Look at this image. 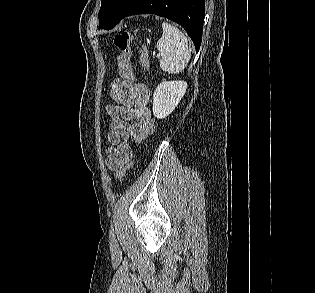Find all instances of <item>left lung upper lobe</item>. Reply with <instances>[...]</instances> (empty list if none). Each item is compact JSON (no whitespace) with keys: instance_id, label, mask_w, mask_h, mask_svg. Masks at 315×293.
I'll use <instances>...</instances> for the list:
<instances>
[{"instance_id":"5c2ea615","label":"left lung upper lobe","mask_w":315,"mask_h":293,"mask_svg":"<svg viewBox=\"0 0 315 293\" xmlns=\"http://www.w3.org/2000/svg\"><path fill=\"white\" fill-rule=\"evenodd\" d=\"M140 0H102L99 28L112 29L137 5Z\"/></svg>"}]
</instances>
